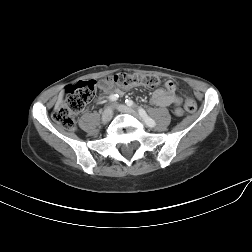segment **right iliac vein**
<instances>
[{
	"instance_id": "right-iliac-vein-1",
	"label": "right iliac vein",
	"mask_w": 252,
	"mask_h": 252,
	"mask_svg": "<svg viewBox=\"0 0 252 252\" xmlns=\"http://www.w3.org/2000/svg\"><path fill=\"white\" fill-rule=\"evenodd\" d=\"M113 116V110L111 107H107L102 114V123L107 124Z\"/></svg>"
}]
</instances>
